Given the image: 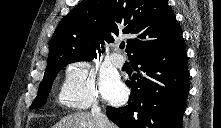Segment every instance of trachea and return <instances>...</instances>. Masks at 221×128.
<instances>
[{
	"mask_svg": "<svg viewBox=\"0 0 221 128\" xmlns=\"http://www.w3.org/2000/svg\"><path fill=\"white\" fill-rule=\"evenodd\" d=\"M124 47H125V45H124V44H121V45H120V48H121V49H123Z\"/></svg>",
	"mask_w": 221,
	"mask_h": 128,
	"instance_id": "1",
	"label": "trachea"
}]
</instances>
